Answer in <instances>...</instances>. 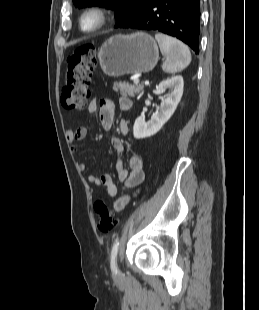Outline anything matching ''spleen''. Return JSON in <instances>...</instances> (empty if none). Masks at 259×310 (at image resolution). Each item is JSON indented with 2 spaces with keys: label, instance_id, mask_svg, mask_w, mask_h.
<instances>
[{
  "label": "spleen",
  "instance_id": "spleen-1",
  "mask_svg": "<svg viewBox=\"0 0 259 310\" xmlns=\"http://www.w3.org/2000/svg\"><path fill=\"white\" fill-rule=\"evenodd\" d=\"M161 53L165 56L162 70L166 73L175 74L184 70L191 62L189 48L173 37L162 33H156Z\"/></svg>",
  "mask_w": 259,
  "mask_h": 310
}]
</instances>
